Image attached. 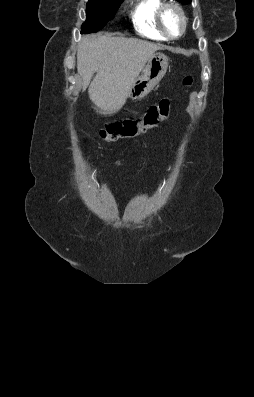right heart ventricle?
<instances>
[{"mask_svg": "<svg viewBox=\"0 0 254 397\" xmlns=\"http://www.w3.org/2000/svg\"><path fill=\"white\" fill-rule=\"evenodd\" d=\"M162 3V0H133L131 18L138 33L154 40L168 39L159 29L156 20L158 8Z\"/></svg>", "mask_w": 254, "mask_h": 397, "instance_id": "right-heart-ventricle-1", "label": "right heart ventricle"}]
</instances>
